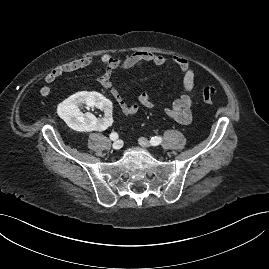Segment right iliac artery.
Instances as JSON below:
<instances>
[{"instance_id":"1","label":"right iliac artery","mask_w":269,"mask_h":269,"mask_svg":"<svg viewBox=\"0 0 269 269\" xmlns=\"http://www.w3.org/2000/svg\"><path fill=\"white\" fill-rule=\"evenodd\" d=\"M110 139H111V140H116V139H118V134H117L116 132H112V133L110 134Z\"/></svg>"}]
</instances>
